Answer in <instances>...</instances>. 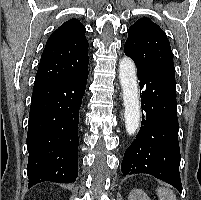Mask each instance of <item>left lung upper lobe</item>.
Instances as JSON below:
<instances>
[{"instance_id": "1", "label": "left lung upper lobe", "mask_w": 201, "mask_h": 200, "mask_svg": "<svg viewBox=\"0 0 201 200\" xmlns=\"http://www.w3.org/2000/svg\"><path fill=\"white\" fill-rule=\"evenodd\" d=\"M124 52L133 59L137 69L175 70L165 32L148 18H140L129 28Z\"/></svg>"}]
</instances>
